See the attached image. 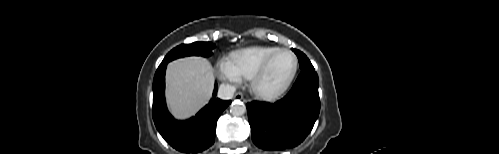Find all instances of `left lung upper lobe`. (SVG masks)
I'll return each instance as SVG.
<instances>
[{
    "label": "left lung upper lobe",
    "mask_w": 499,
    "mask_h": 154,
    "mask_svg": "<svg viewBox=\"0 0 499 154\" xmlns=\"http://www.w3.org/2000/svg\"><path fill=\"white\" fill-rule=\"evenodd\" d=\"M295 53L298 57L301 70H314V67L312 66L310 60L306 57L304 53L300 51H297Z\"/></svg>",
    "instance_id": "5c2ea615"
}]
</instances>
